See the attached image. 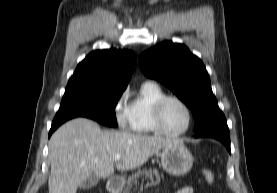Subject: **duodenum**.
<instances>
[{
	"label": "duodenum",
	"instance_id": "obj_1",
	"mask_svg": "<svg viewBox=\"0 0 277 193\" xmlns=\"http://www.w3.org/2000/svg\"><path fill=\"white\" fill-rule=\"evenodd\" d=\"M121 189V182L118 179H111L108 183V190L111 193H118Z\"/></svg>",
	"mask_w": 277,
	"mask_h": 193
}]
</instances>
